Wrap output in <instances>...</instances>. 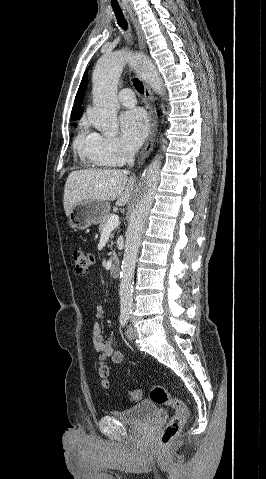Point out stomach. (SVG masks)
<instances>
[{"label":"stomach","instance_id":"stomach-1","mask_svg":"<svg viewBox=\"0 0 266 479\" xmlns=\"http://www.w3.org/2000/svg\"><path fill=\"white\" fill-rule=\"evenodd\" d=\"M109 210L110 204L106 201H79L68 215L69 224L75 229L85 230L92 224L101 222Z\"/></svg>","mask_w":266,"mask_h":479}]
</instances>
